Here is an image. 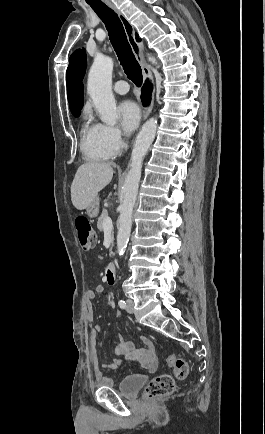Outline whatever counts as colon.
I'll list each match as a JSON object with an SVG mask.
<instances>
[{"label":"colon","mask_w":265,"mask_h":434,"mask_svg":"<svg viewBox=\"0 0 265 434\" xmlns=\"http://www.w3.org/2000/svg\"><path fill=\"white\" fill-rule=\"evenodd\" d=\"M77 238L84 251L91 250L97 243V234L88 218H77L75 220ZM168 365L173 369L174 375L158 374L145 389L148 397L171 393L175 389V379H185L189 373L188 364L185 360L170 355L167 359Z\"/></svg>","instance_id":"1"}]
</instances>
